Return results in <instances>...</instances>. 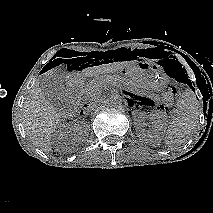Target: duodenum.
Here are the masks:
<instances>
[{
	"mask_svg": "<svg viewBox=\"0 0 213 213\" xmlns=\"http://www.w3.org/2000/svg\"><path fill=\"white\" fill-rule=\"evenodd\" d=\"M71 92H77L78 91V87L75 85V86H72L71 89H70ZM100 101H96V103L92 104V103H88V104H84L82 107H81V110H87V109H90L92 106H94L95 104L99 103Z\"/></svg>",
	"mask_w": 213,
	"mask_h": 213,
	"instance_id": "obj_1",
	"label": "duodenum"
}]
</instances>
